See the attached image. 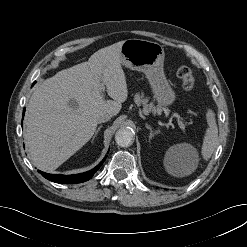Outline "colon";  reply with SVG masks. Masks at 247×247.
<instances>
[{
    "label": "colon",
    "mask_w": 247,
    "mask_h": 247,
    "mask_svg": "<svg viewBox=\"0 0 247 247\" xmlns=\"http://www.w3.org/2000/svg\"><path fill=\"white\" fill-rule=\"evenodd\" d=\"M176 74L181 80L183 89L185 91H191L194 87L195 80L190 68L187 66H181L177 69Z\"/></svg>",
    "instance_id": "1"
}]
</instances>
